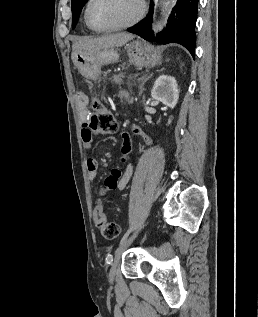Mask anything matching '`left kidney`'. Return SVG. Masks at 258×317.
Wrapping results in <instances>:
<instances>
[{"label": "left kidney", "mask_w": 258, "mask_h": 317, "mask_svg": "<svg viewBox=\"0 0 258 317\" xmlns=\"http://www.w3.org/2000/svg\"><path fill=\"white\" fill-rule=\"evenodd\" d=\"M151 96L152 98H156V100H161L166 106L174 108L179 98V90L174 76H168V74L158 76L153 84ZM170 122L171 120H168V124Z\"/></svg>", "instance_id": "1"}]
</instances>
